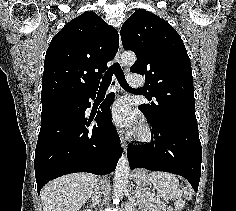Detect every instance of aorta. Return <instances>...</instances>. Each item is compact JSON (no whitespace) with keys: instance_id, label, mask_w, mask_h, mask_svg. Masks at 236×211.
<instances>
[{"instance_id":"aorta-1","label":"aorta","mask_w":236,"mask_h":211,"mask_svg":"<svg viewBox=\"0 0 236 211\" xmlns=\"http://www.w3.org/2000/svg\"><path fill=\"white\" fill-rule=\"evenodd\" d=\"M136 55L133 52H124L121 55V61L125 65H133L136 61ZM129 162L127 156L123 154L116 166L115 175H114V193L113 201L118 203L122 199L123 193L126 190L128 177H129Z\"/></svg>"}]
</instances>
